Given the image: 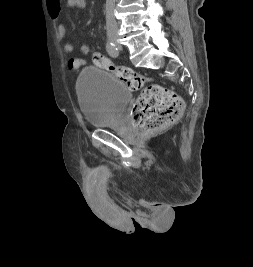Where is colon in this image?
<instances>
[{"label":"colon","instance_id":"5ec220e1","mask_svg":"<svg viewBox=\"0 0 253 267\" xmlns=\"http://www.w3.org/2000/svg\"><path fill=\"white\" fill-rule=\"evenodd\" d=\"M79 51L83 55H88L90 48L82 44ZM93 61L98 67L126 83L132 90H142L131 112L133 127L139 135L154 134L181 116L184 108L183 100L171 90L157 84L146 85L147 79L143 75L128 67L114 64L100 53L93 55ZM83 64L85 61L82 59L69 60L70 69H77Z\"/></svg>","mask_w":253,"mask_h":267}]
</instances>
